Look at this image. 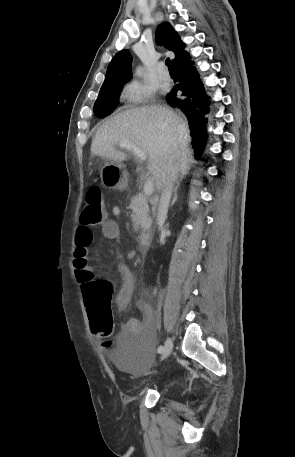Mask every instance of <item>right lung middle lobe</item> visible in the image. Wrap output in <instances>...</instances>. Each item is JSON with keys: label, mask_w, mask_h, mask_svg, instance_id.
<instances>
[{"label": "right lung middle lobe", "mask_w": 295, "mask_h": 457, "mask_svg": "<svg viewBox=\"0 0 295 457\" xmlns=\"http://www.w3.org/2000/svg\"><path fill=\"white\" fill-rule=\"evenodd\" d=\"M122 86L99 92V96L94 104L93 111L99 118H104L111 114L119 104V96Z\"/></svg>", "instance_id": "obj_1"}]
</instances>
